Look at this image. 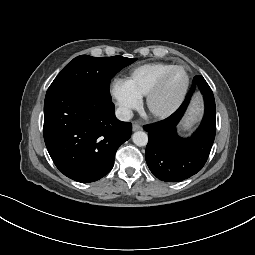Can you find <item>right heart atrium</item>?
Instances as JSON below:
<instances>
[{
    "mask_svg": "<svg viewBox=\"0 0 255 255\" xmlns=\"http://www.w3.org/2000/svg\"><path fill=\"white\" fill-rule=\"evenodd\" d=\"M110 93L125 116H128L133 109L140 105L141 97L131 89L125 80L114 79L110 86Z\"/></svg>",
    "mask_w": 255,
    "mask_h": 255,
    "instance_id": "1",
    "label": "right heart atrium"
}]
</instances>
